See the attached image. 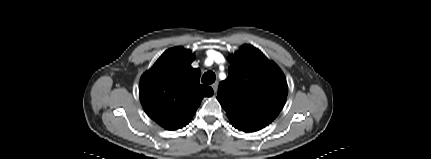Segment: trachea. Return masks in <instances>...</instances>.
<instances>
[{"label":"trachea","instance_id":"obj_1","mask_svg":"<svg viewBox=\"0 0 431 159\" xmlns=\"http://www.w3.org/2000/svg\"><path fill=\"white\" fill-rule=\"evenodd\" d=\"M215 79H216L215 73L212 71H208V72L204 73L201 81H202V83H204L206 85H210V84L215 82Z\"/></svg>","mask_w":431,"mask_h":159}]
</instances>
